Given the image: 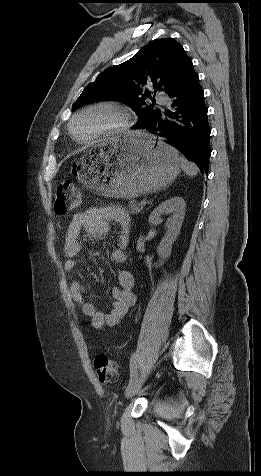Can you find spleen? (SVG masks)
<instances>
[{"label":"spleen","instance_id":"1","mask_svg":"<svg viewBox=\"0 0 261 476\" xmlns=\"http://www.w3.org/2000/svg\"><path fill=\"white\" fill-rule=\"evenodd\" d=\"M181 168L186 172L189 176H195L198 173V168L192 162H189L184 157H180Z\"/></svg>","mask_w":261,"mask_h":476}]
</instances>
